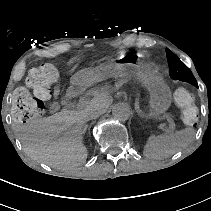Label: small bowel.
Segmentation results:
<instances>
[{
	"instance_id": "1",
	"label": "small bowel",
	"mask_w": 211,
	"mask_h": 211,
	"mask_svg": "<svg viewBox=\"0 0 211 211\" xmlns=\"http://www.w3.org/2000/svg\"><path fill=\"white\" fill-rule=\"evenodd\" d=\"M60 89L59 86H57L54 90V96L57 97L59 95Z\"/></svg>"
}]
</instances>
